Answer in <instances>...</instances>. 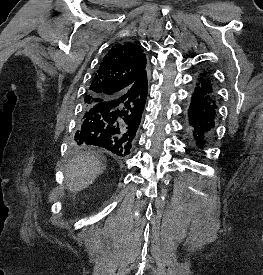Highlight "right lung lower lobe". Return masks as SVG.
<instances>
[{
    "label": "right lung lower lobe",
    "instance_id": "1",
    "mask_svg": "<svg viewBox=\"0 0 263 275\" xmlns=\"http://www.w3.org/2000/svg\"><path fill=\"white\" fill-rule=\"evenodd\" d=\"M142 80L146 85V71ZM141 117V113L129 107L127 94L119 93L103 98L85 108L75 134V144L81 147L97 146L118 156H126L130 153Z\"/></svg>",
    "mask_w": 263,
    "mask_h": 275
}]
</instances>
